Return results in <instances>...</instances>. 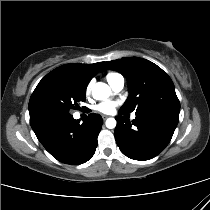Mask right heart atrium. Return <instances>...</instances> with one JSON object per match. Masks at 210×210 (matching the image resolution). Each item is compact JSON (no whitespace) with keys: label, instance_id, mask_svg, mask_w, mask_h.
Here are the masks:
<instances>
[{"label":"right heart atrium","instance_id":"1","mask_svg":"<svg viewBox=\"0 0 210 210\" xmlns=\"http://www.w3.org/2000/svg\"><path fill=\"white\" fill-rule=\"evenodd\" d=\"M92 90V83H89L86 87V94L89 95L91 93Z\"/></svg>","mask_w":210,"mask_h":210}]
</instances>
